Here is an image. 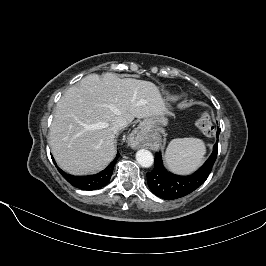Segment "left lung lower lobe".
<instances>
[{
  "label": "left lung lower lobe",
  "mask_w": 266,
  "mask_h": 266,
  "mask_svg": "<svg viewBox=\"0 0 266 266\" xmlns=\"http://www.w3.org/2000/svg\"><path fill=\"white\" fill-rule=\"evenodd\" d=\"M213 152L207 161L192 175L180 176L168 172L162 163L161 153L155 154L154 168L147 173V183L150 190L164 200H173L184 197L202 185L212 171L217 157L218 136Z\"/></svg>",
  "instance_id": "obj_1"
}]
</instances>
